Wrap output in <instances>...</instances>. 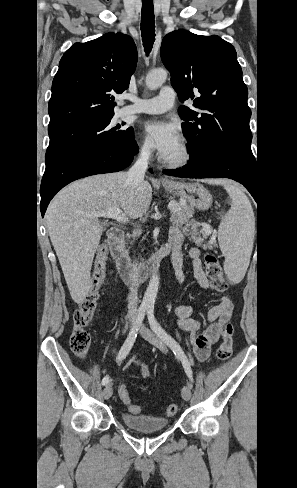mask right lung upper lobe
I'll list each match as a JSON object with an SVG mask.
<instances>
[{"instance_id":"obj_1","label":"right lung upper lobe","mask_w":297,"mask_h":488,"mask_svg":"<svg viewBox=\"0 0 297 488\" xmlns=\"http://www.w3.org/2000/svg\"><path fill=\"white\" fill-rule=\"evenodd\" d=\"M137 64L132 38L108 33L75 43L59 63L48 104V133L114 115L113 93L128 88Z\"/></svg>"}]
</instances>
